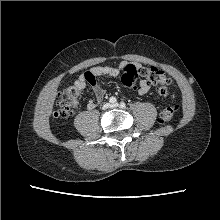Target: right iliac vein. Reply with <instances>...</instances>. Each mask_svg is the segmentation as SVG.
Returning a JSON list of instances; mask_svg holds the SVG:
<instances>
[{"instance_id": "right-iliac-vein-1", "label": "right iliac vein", "mask_w": 220, "mask_h": 220, "mask_svg": "<svg viewBox=\"0 0 220 220\" xmlns=\"http://www.w3.org/2000/svg\"><path fill=\"white\" fill-rule=\"evenodd\" d=\"M110 107V104H108V103H106L105 105H104V108H109Z\"/></svg>"}]
</instances>
